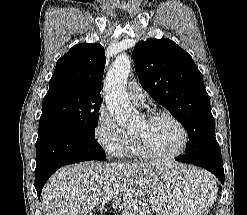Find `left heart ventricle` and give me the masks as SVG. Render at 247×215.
<instances>
[{
	"instance_id": "b2bd125f",
	"label": "left heart ventricle",
	"mask_w": 247,
	"mask_h": 215,
	"mask_svg": "<svg viewBox=\"0 0 247 215\" xmlns=\"http://www.w3.org/2000/svg\"><path fill=\"white\" fill-rule=\"evenodd\" d=\"M133 133L140 134L148 147L157 154H172L182 144V133L178 126L168 118H159L151 122L142 119Z\"/></svg>"
}]
</instances>
